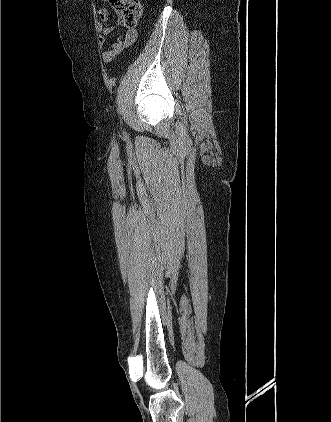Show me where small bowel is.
I'll return each instance as SVG.
<instances>
[{"label":"small bowel","instance_id":"small-bowel-1","mask_svg":"<svg viewBox=\"0 0 331 422\" xmlns=\"http://www.w3.org/2000/svg\"><path fill=\"white\" fill-rule=\"evenodd\" d=\"M106 1V0H101ZM108 17V12L105 8H100L97 29L100 33L99 44L102 46V58L106 64L112 63L116 57L123 51V49L132 44L137 36V32L133 29L128 30L124 35H121L117 38L115 42L110 45H107L106 38L109 34L114 32L117 28L121 26L120 21L110 25L106 22Z\"/></svg>","mask_w":331,"mask_h":422}]
</instances>
